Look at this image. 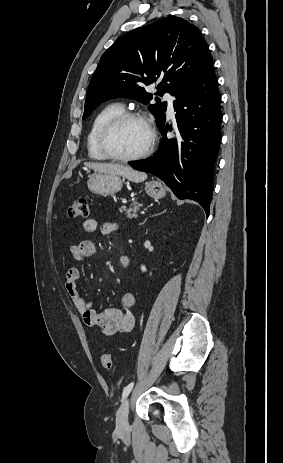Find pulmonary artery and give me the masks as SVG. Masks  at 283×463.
Here are the masks:
<instances>
[{"label": "pulmonary artery", "instance_id": "obj_1", "mask_svg": "<svg viewBox=\"0 0 283 463\" xmlns=\"http://www.w3.org/2000/svg\"><path fill=\"white\" fill-rule=\"evenodd\" d=\"M164 99L168 102V114L170 117H172L174 114V108H173L174 97L170 93H165Z\"/></svg>", "mask_w": 283, "mask_h": 463}]
</instances>
